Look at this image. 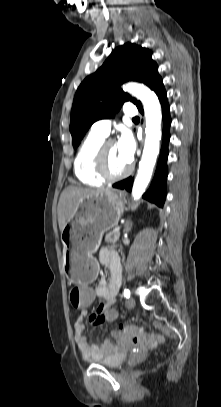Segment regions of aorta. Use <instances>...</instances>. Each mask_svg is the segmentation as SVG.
<instances>
[{
	"mask_svg": "<svg viewBox=\"0 0 221 407\" xmlns=\"http://www.w3.org/2000/svg\"><path fill=\"white\" fill-rule=\"evenodd\" d=\"M123 89L142 102L146 118L145 145L138 173L132 188V197L134 200H138L145 192L151 180L160 150L161 106L156 94L142 84L129 83L123 86Z\"/></svg>",
	"mask_w": 221,
	"mask_h": 407,
	"instance_id": "1",
	"label": "aorta"
}]
</instances>
